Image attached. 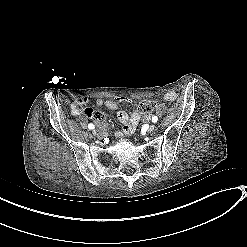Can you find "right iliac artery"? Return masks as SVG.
Returning a JSON list of instances; mask_svg holds the SVG:
<instances>
[{
	"instance_id": "1",
	"label": "right iliac artery",
	"mask_w": 247,
	"mask_h": 247,
	"mask_svg": "<svg viewBox=\"0 0 247 247\" xmlns=\"http://www.w3.org/2000/svg\"><path fill=\"white\" fill-rule=\"evenodd\" d=\"M88 128H89V129H94V125L90 123V124L88 125Z\"/></svg>"
}]
</instances>
